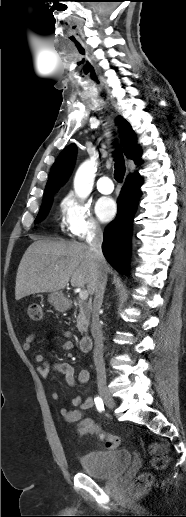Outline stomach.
Segmentation results:
<instances>
[{"instance_id":"1","label":"stomach","mask_w":186,"mask_h":517,"mask_svg":"<svg viewBox=\"0 0 186 517\" xmlns=\"http://www.w3.org/2000/svg\"><path fill=\"white\" fill-rule=\"evenodd\" d=\"M48 301L59 311H63L67 307V300L61 291L51 292Z\"/></svg>"}]
</instances>
